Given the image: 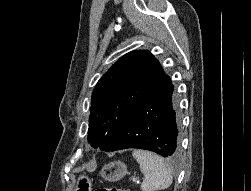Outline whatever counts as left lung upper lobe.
Here are the masks:
<instances>
[{
    "mask_svg": "<svg viewBox=\"0 0 251 191\" xmlns=\"http://www.w3.org/2000/svg\"><path fill=\"white\" fill-rule=\"evenodd\" d=\"M164 73L148 51H132L121 57L98 81L92 93L88 140L109 151L130 114Z\"/></svg>",
    "mask_w": 251,
    "mask_h": 191,
    "instance_id": "obj_1",
    "label": "left lung upper lobe"
}]
</instances>
